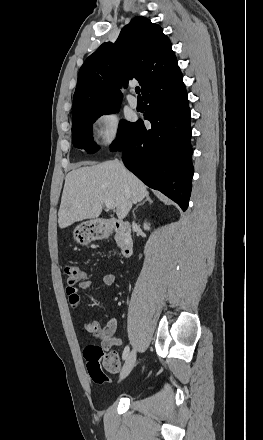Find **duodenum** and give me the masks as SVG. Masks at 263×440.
<instances>
[{
  "instance_id": "obj_1",
  "label": "duodenum",
  "mask_w": 263,
  "mask_h": 440,
  "mask_svg": "<svg viewBox=\"0 0 263 440\" xmlns=\"http://www.w3.org/2000/svg\"><path fill=\"white\" fill-rule=\"evenodd\" d=\"M101 228L104 237H106V235L110 234L111 232H116L118 234L122 258L127 259L133 254L134 242L132 238V229L130 223L114 218H109L103 223Z\"/></svg>"
}]
</instances>
